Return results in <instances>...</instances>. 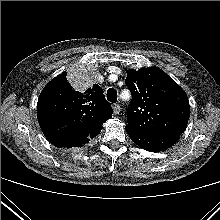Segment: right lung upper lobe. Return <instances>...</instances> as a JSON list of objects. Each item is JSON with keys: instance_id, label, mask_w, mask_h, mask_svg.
Segmentation results:
<instances>
[{"instance_id": "cb5924a9", "label": "right lung upper lobe", "mask_w": 220, "mask_h": 220, "mask_svg": "<svg viewBox=\"0 0 220 220\" xmlns=\"http://www.w3.org/2000/svg\"><path fill=\"white\" fill-rule=\"evenodd\" d=\"M103 93L98 84L76 91L67 72L52 79L37 103L38 122L48 141L58 148L66 147L101 127L113 113Z\"/></svg>"}]
</instances>
